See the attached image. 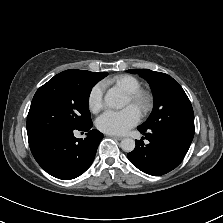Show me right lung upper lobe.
I'll return each mask as SVG.
<instances>
[{"label": "right lung upper lobe", "instance_id": "right-lung-upper-lobe-1", "mask_svg": "<svg viewBox=\"0 0 223 223\" xmlns=\"http://www.w3.org/2000/svg\"><path fill=\"white\" fill-rule=\"evenodd\" d=\"M79 73H91V74H93V75H95V76H97L98 78H101V79H103L108 74L106 72L96 73V72H90V71H85V70H76V69H70V70H66V71L61 72V74H73V75L79 74Z\"/></svg>", "mask_w": 223, "mask_h": 223}]
</instances>
